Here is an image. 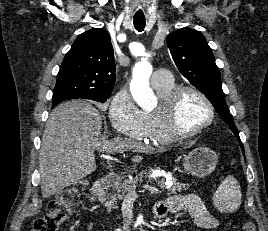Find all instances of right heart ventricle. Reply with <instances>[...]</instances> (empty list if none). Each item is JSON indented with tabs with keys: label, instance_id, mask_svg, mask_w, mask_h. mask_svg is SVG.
Returning a JSON list of instances; mask_svg holds the SVG:
<instances>
[{
	"label": "right heart ventricle",
	"instance_id": "right-heart-ventricle-1",
	"mask_svg": "<svg viewBox=\"0 0 268 231\" xmlns=\"http://www.w3.org/2000/svg\"><path fill=\"white\" fill-rule=\"evenodd\" d=\"M157 91L160 102H162L176 87L173 80L153 86ZM144 123L146 128L145 140L153 144L168 145L175 139L170 137L163 125V120L158 108L143 112Z\"/></svg>",
	"mask_w": 268,
	"mask_h": 231
}]
</instances>
